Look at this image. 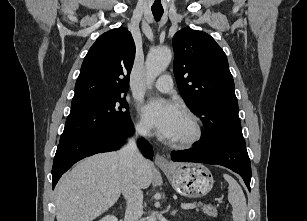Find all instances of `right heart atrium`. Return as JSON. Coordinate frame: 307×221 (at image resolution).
I'll use <instances>...</instances> for the list:
<instances>
[{"label":"right heart atrium","mask_w":307,"mask_h":221,"mask_svg":"<svg viewBox=\"0 0 307 221\" xmlns=\"http://www.w3.org/2000/svg\"><path fill=\"white\" fill-rule=\"evenodd\" d=\"M136 131L143 137L151 135V130L143 120H139L136 124Z\"/></svg>","instance_id":"1"}]
</instances>
